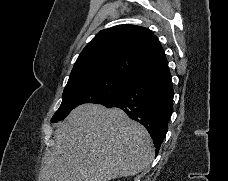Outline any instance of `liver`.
Segmentation results:
<instances>
[{"label":"liver","instance_id":"6515ba94","mask_svg":"<svg viewBox=\"0 0 228 181\" xmlns=\"http://www.w3.org/2000/svg\"><path fill=\"white\" fill-rule=\"evenodd\" d=\"M40 181H112L134 177L154 157L143 125L121 109L85 103L54 131Z\"/></svg>","mask_w":228,"mask_h":181}]
</instances>
